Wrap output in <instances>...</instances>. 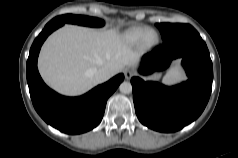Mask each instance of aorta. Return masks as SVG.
<instances>
[{"label": "aorta", "mask_w": 238, "mask_h": 158, "mask_svg": "<svg viewBox=\"0 0 238 158\" xmlns=\"http://www.w3.org/2000/svg\"><path fill=\"white\" fill-rule=\"evenodd\" d=\"M120 92L124 93V94H129L132 92V85L130 82H122L119 86Z\"/></svg>", "instance_id": "obj_1"}]
</instances>
